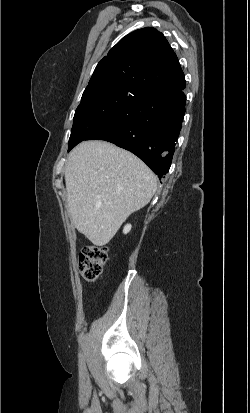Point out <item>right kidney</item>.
Masks as SVG:
<instances>
[{
  "label": "right kidney",
  "mask_w": 250,
  "mask_h": 413,
  "mask_svg": "<svg viewBox=\"0 0 250 413\" xmlns=\"http://www.w3.org/2000/svg\"><path fill=\"white\" fill-rule=\"evenodd\" d=\"M130 230H131V225H130V224H127V225L124 227V229H123V233H124V234H127Z\"/></svg>",
  "instance_id": "obj_1"
}]
</instances>
